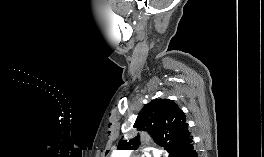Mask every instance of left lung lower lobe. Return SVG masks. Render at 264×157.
Here are the masks:
<instances>
[{
  "label": "left lung lower lobe",
  "mask_w": 264,
  "mask_h": 157,
  "mask_svg": "<svg viewBox=\"0 0 264 157\" xmlns=\"http://www.w3.org/2000/svg\"><path fill=\"white\" fill-rule=\"evenodd\" d=\"M175 157H198L197 151L194 148L192 138L183 143L177 150Z\"/></svg>",
  "instance_id": "0a47b994"
}]
</instances>
